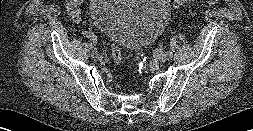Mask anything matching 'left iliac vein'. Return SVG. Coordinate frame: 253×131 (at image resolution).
Segmentation results:
<instances>
[{
  "label": "left iliac vein",
  "mask_w": 253,
  "mask_h": 131,
  "mask_svg": "<svg viewBox=\"0 0 253 131\" xmlns=\"http://www.w3.org/2000/svg\"><path fill=\"white\" fill-rule=\"evenodd\" d=\"M172 56H173L172 52H169V53L161 52V53H157L156 58L161 62H165L171 59Z\"/></svg>",
  "instance_id": "1"
}]
</instances>
